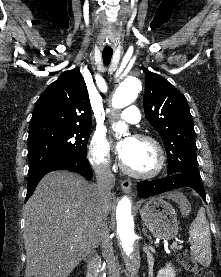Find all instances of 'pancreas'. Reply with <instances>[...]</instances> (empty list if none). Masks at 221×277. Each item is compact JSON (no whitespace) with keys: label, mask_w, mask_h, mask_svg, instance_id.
I'll return each mask as SVG.
<instances>
[{"label":"pancreas","mask_w":221,"mask_h":277,"mask_svg":"<svg viewBox=\"0 0 221 277\" xmlns=\"http://www.w3.org/2000/svg\"><path fill=\"white\" fill-rule=\"evenodd\" d=\"M177 249H179V250H180V249H182V247L180 246V247H178ZM101 277H103V276L101 275Z\"/></svg>","instance_id":"pancreas-1"}]
</instances>
